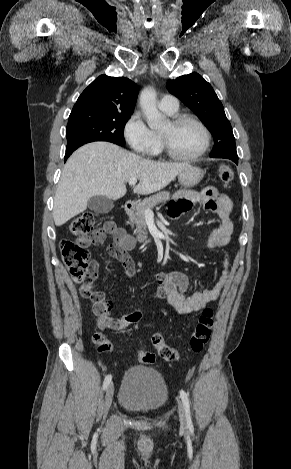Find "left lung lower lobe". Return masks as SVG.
Listing matches in <instances>:
<instances>
[{
  "instance_id": "obj_1",
  "label": "left lung lower lobe",
  "mask_w": 291,
  "mask_h": 469,
  "mask_svg": "<svg viewBox=\"0 0 291 469\" xmlns=\"http://www.w3.org/2000/svg\"><path fill=\"white\" fill-rule=\"evenodd\" d=\"M214 158H227V159H230V160L234 161L236 164H238V158H237V157H232V156L224 155V156H222V157H214Z\"/></svg>"
}]
</instances>
